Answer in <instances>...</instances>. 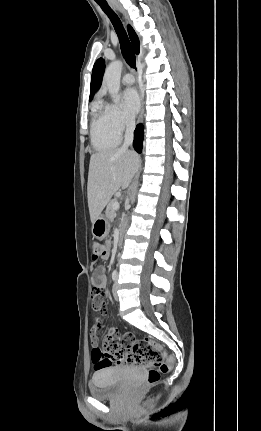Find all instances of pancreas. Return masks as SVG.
<instances>
[{
    "label": "pancreas",
    "mask_w": 261,
    "mask_h": 431,
    "mask_svg": "<svg viewBox=\"0 0 261 431\" xmlns=\"http://www.w3.org/2000/svg\"><path fill=\"white\" fill-rule=\"evenodd\" d=\"M115 202H118L117 199L110 200V202L108 203L107 208H106V217L110 221H113L115 216H116L115 209L113 208V205Z\"/></svg>",
    "instance_id": "cf45deb5"
}]
</instances>
